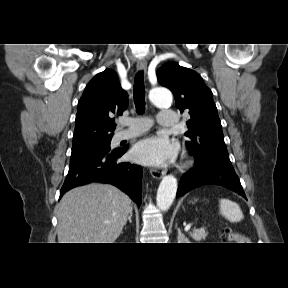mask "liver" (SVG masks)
<instances>
[{
    "label": "liver",
    "mask_w": 288,
    "mask_h": 288,
    "mask_svg": "<svg viewBox=\"0 0 288 288\" xmlns=\"http://www.w3.org/2000/svg\"><path fill=\"white\" fill-rule=\"evenodd\" d=\"M132 209L118 188L90 183L65 193L58 205L59 243H114Z\"/></svg>",
    "instance_id": "1"
}]
</instances>
